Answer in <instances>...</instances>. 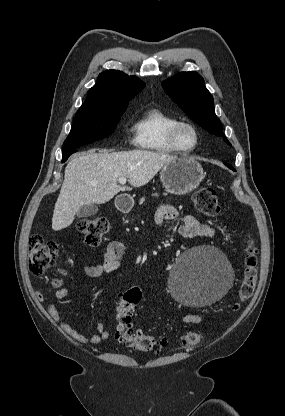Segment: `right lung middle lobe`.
Segmentation results:
<instances>
[{
  "instance_id": "obj_1",
  "label": "right lung middle lobe",
  "mask_w": 285,
  "mask_h": 416,
  "mask_svg": "<svg viewBox=\"0 0 285 416\" xmlns=\"http://www.w3.org/2000/svg\"><path fill=\"white\" fill-rule=\"evenodd\" d=\"M127 106L108 108L80 107L64 141L62 151L95 142L110 135L119 123Z\"/></svg>"
}]
</instances>
